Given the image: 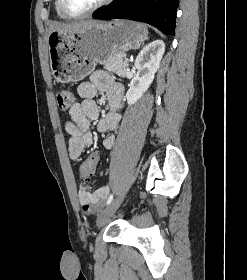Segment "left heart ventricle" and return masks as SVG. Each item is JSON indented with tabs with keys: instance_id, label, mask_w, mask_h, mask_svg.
Returning a JSON list of instances; mask_svg holds the SVG:
<instances>
[{
	"instance_id": "b2bd125f",
	"label": "left heart ventricle",
	"mask_w": 247,
	"mask_h": 280,
	"mask_svg": "<svg viewBox=\"0 0 247 280\" xmlns=\"http://www.w3.org/2000/svg\"><path fill=\"white\" fill-rule=\"evenodd\" d=\"M101 0H66L68 9L73 13H80L90 9Z\"/></svg>"
}]
</instances>
